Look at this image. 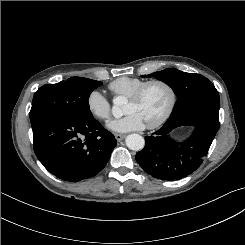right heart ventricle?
<instances>
[{"label":"right heart ventricle","mask_w":245,"mask_h":245,"mask_svg":"<svg viewBox=\"0 0 245 245\" xmlns=\"http://www.w3.org/2000/svg\"><path fill=\"white\" fill-rule=\"evenodd\" d=\"M146 80L137 78L122 76L109 84V89L114 96H130L138 87H140Z\"/></svg>","instance_id":"1"}]
</instances>
